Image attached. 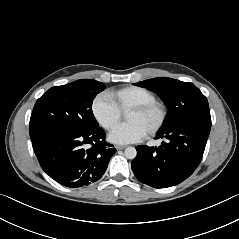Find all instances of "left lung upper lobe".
<instances>
[{
  "label": "left lung upper lobe",
  "instance_id": "1",
  "mask_svg": "<svg viewBox=\"0 0 239 239\" xmlns=\"http://www.w3.org/2000/svg\"><path fill=\"white\" fill-rule=\"evenodd\" d=\"M134 85L157 93L165 102L169 112L161 128L189 121L211 122L207 98L192 83L159 77Z\"/></svg>",
  "mask_w": 239,
  "mask_h": 239
}]
</instances>
